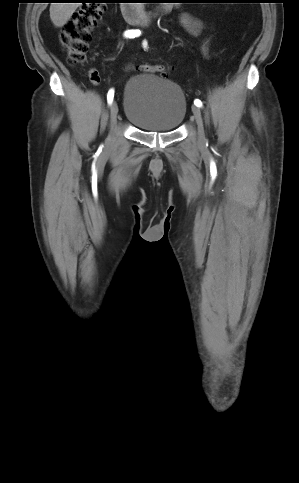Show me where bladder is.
<instances>
[{
  "instance_id": "bladder-1",
  "label": "bladder",
  "mask_w": 299,
  "mask_h": 483,
  "mask_svg": "<svg viewBox=\"0 0 299 483\" xmlns=\"http://www.w3.org/2000/svg\"><path fill=\"white\" fill-rule=\"evenodd\" d=\"M124 115L137 129L171 132L183 122L187 102L181 88L157 74L131 77L123 90Z\"/></svg>"
}]
</instances>
